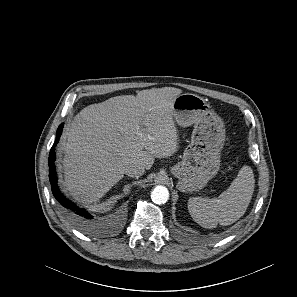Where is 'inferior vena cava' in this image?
Here are the masks:
<instances>
[{
    "label": "inferior vena cava",
    "instance_id": "inferior-vena-cava-1",
    "mask_svg": "<svg viewBox=\"0 0 297 297\" xmlns=\"http://www.w3.org/2000/svg\"><path fill=\"white\" fill-rule=\"evenodd\" d=\"M145 168L139 164H129L125 168V174L130 177H140L144 174Z\"/></svg>",
    "mask_w": 297,
    "mask_h": 297
}]
</instances>
